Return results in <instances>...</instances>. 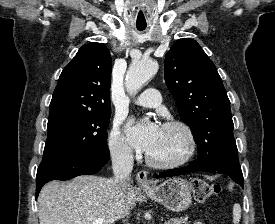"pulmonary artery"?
Returning <instances> with one entry per match:
<instances>
[{"mask_svg":"<svg viewBox=\"0 0 275 224\" xmlns=\"http://www.w3.org/2000/svg\"><path fill=\"white\" fill-rule=\"evenodd\" d=\"M160 101V92L155 88H148L134 100V103L142 107L153 108L158 106Z\"/></svg>","mask_w":275,"mask_h":224,"instance_id":"e3ab8cb5","label":"pulmonary artery"}]
</instances>
